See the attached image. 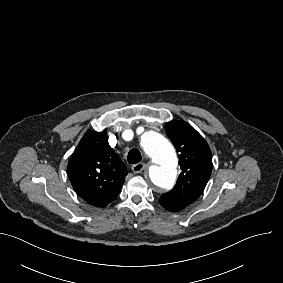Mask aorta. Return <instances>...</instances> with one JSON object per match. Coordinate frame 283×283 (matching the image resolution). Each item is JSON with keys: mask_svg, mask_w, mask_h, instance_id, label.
Masks as SVG:
<instances>
[{"mask_svg": "<svg viewBox=\"0 0 283 283\" xmlns=\"http://www.w3.org/2000/svg\"><path fill=\"white\" fill-rule=\"evenodd\" d=\"M141 146L154 163L149 168L152 183L163 189H171L176 181L178 166L173 145L163 135L147 131L141 136Z\"/></svg>", "mask_w": 283, "mask_h": 283, "instance_id": "obj_1", "label": "aorta"}]
</instances>
